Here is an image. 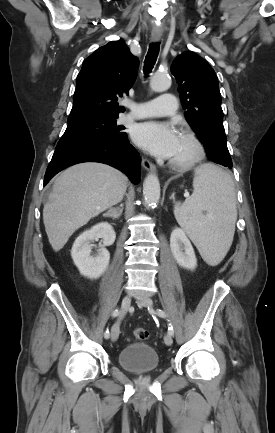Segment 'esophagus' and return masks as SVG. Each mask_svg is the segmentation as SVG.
<instances>
[{
  "mask_svg": "<svg viewBox=\"0 0 275 433\" xmlns=\"http://www.w3.org/2000/svg\"><path fill=\"white\" fill-rule=\"evenodd\" d=\"M160 38H161V34L160 33L153 32L151 34V41L152 42H158L160 40ZM142 166L147 171L156 172L155 165L152 162H150L148 159H146V158H142Z\"/></svg>",
  "mask_w": 275,
  "mask_h": 433,
  "instance_id": "obj_1",
  "label": "esophagus"
}]
</instances>
